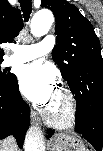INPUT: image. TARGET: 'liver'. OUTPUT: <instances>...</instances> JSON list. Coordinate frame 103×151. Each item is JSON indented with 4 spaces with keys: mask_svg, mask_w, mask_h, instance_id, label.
I'll return each mask as SVG.
<instances>
[{
    "mask_svg": "<svg viewBox=\"0 0 103 151\" xmlns=\"http://www.w3.org/2000/svg\"><path fill=\"white\" fill-rule=\"evenodd\" d=\"M1 149H5V148H3L2 146H1ZM7 149H9V151H17V146H16V143H14V144H11L10 146H8V148Z\"/></svg>",
    "mask_w": 103,
    "mask_h": 151,
    "instance_id": "obj_1",
    "label": "liver"
}]
</instances>
